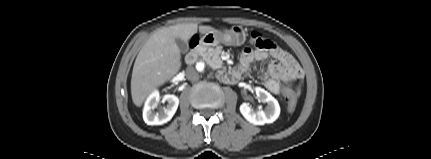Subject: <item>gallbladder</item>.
<instances>
[{"instance_id":"1","label":"gallbladder","mask_w":431,"mask_h":159,"mask_svg":"<svg viewBox=\"0 0 431 159\" xmlns=\"http://www.w3.org/2000/svg\"><path fill=\"white\" fill-rule=\"evenodd\" d=\"M175 42H176L177 46L179 47V49L182 53L185 54L188 52L189 46H188V43L186 41H184L180 38H176Z\"/></svg>"}]
</instances>
